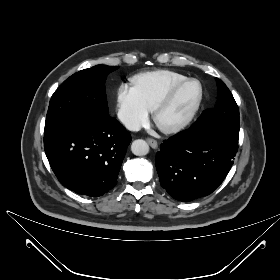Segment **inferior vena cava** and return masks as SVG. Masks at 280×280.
I'll return each mask as SVG.
<instances>
[{
    "mask_svg": "<svg viewBox=\"0 0 280 280\" xmlns=\"http://www.w3.org/2000/svg\"><path fill=\"white\" fill-rule=\"evenodd\" d=\"M118 117L128 130H131V131L140 130V128H141L140 123L134 117L130 116L129 114L120 112L118 114Z\"/></svg>",
    "mask_w": 280,
    "mask_h": 280,
    "instance_id": "obj_1",
    "label": "inferior vena cava"
}]
</instances>
